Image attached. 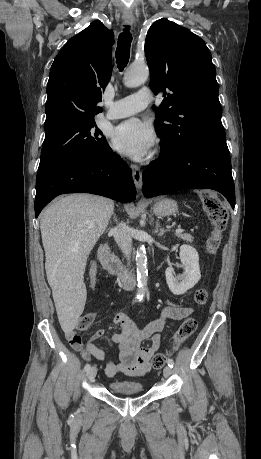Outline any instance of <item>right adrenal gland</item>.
<instances>
[{
	"label": "right adrenal gland",
	"instance_id": "1",
	"mask_svg": "<svg viewBox=\"0 0 261 459\" xmlns=\"http://www.w3.org/2000/svg\"><path fill=\"white\" fill-rule=\"evenodd\" d=\"M113 220H114L115 222H117V218H116L115 213H113Z\"/></svg>",
	"mask_w": 261,
	"mask_h": 459
}]
</instances>
